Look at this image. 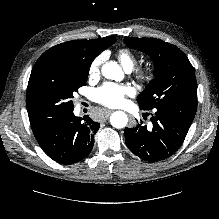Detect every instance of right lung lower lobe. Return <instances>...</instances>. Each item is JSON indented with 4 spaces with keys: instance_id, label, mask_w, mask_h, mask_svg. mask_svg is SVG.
<instances>
[{
    "instance_id": "right-lung-lower-lobe-1",
    "label": "right lung lower lobe",
    "mask_w": 219,
    "mask_h": 219,
    "mask_svg": "<svg viewBox=\"0 0 219 219\" xmlns=\"http://www.w3.org/2000/svg\"><path fill=\"white\" fill-rule=\"evenodd\" d=\"M73 110L62 112L39 127H32L43 151L54 161L73 164L84 159L94 146L100 124L88 116L76 117Z\"/></svg>"
}]
</instances>
